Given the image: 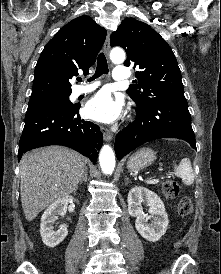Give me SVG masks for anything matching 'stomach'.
I'll use <instances>...</instances> for the list:
<instances>
[{"label": "stomach", "instance_id": "0dacf381", "mask_svg": "<svg viewBox=\"0 0 221 274\" xmlns=\"http://www.w3.org/2000/svg\"><path fill=\"white\" fill-rule=\"evenodd\" d=\"M155 159L156 155L152 149L142 148L130 157L127 168L132 172H137L150 166Z\"/></svg>", "mask_w": 221, "mask_h": 274}]
</instances>
